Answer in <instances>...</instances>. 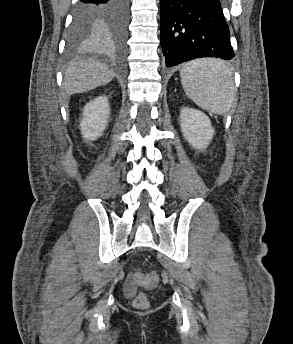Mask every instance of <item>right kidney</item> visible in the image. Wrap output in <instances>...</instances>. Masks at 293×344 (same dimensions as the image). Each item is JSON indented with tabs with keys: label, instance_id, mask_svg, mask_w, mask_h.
<instances>
[{
	"label": "right kidney",
	"instance_id": "ca27d5eb",
	"mask_svg": "<svg viewBox=\"0 0 293 344\" xmlns=\"http://www.w3.org/2000/svg\"><path fill=\"white\" fill-rule=\"evenodd\" d=\"M109 115L110 106L106 96H99L87 103L80 122L82 137L86 141H94L102 136L107 127Z\"/></svg>",
	"mask_w": 293,
	"mask_h": 344
}]
</instances>
